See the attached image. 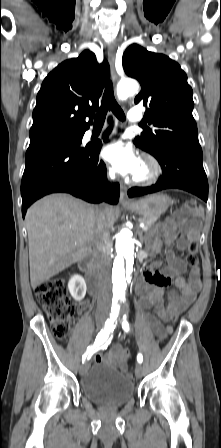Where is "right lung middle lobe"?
<instances>
[{
	"mask_svg": "<svg viewBox=\"0 0 221 448\" xmlns=\"http://www.w3.org/2000/svg\"><path fill=\"white\" fill-rule=\"evenodd\" d=\"M82 137H83V134H78V135H72V136L63 137V138H60L58 140H61V139H74V140L81 141Z\"/></svg>",
	"mask_w": 221,
	"mask_h": 448,
	"instance_id": "dd1d6c3e",
	"label": "right lung middle lobe"
}]
</instances>
